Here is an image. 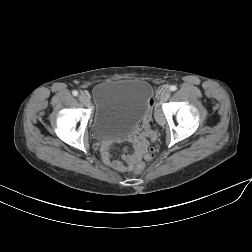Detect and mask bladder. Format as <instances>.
Masks as SVG:
<instances>
[{
    "mask_svg": "<svg viewBox=\"0 0 252 252\" xmlns=\"http://www.w3.org/2000/svg\"><path fill=\"white\" fill-rule=\"evenodd\" d=\"M92 134L99 141H116L150 112V88L140 79L107 80L93 89Z\"/></svg>",
    "mask_w": 252,
    "mask_h": 252,
    "instance_id": "31cf9c89",
    "label": "bladder"
}]
</instances>
